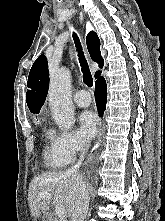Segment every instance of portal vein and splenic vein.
<instances>
[{
    "label": "portal vein and splenic vein",
    "mask_w": 165,
    "mask_h": 221,
    "mask_svg": "<svg viewBox=\"0 0 165 221\" xmlns=\"http://www.w3.org/2000/svg\"><path fill=\"white\" fill-rule=\"evenodd\" d=\"M45 197L49 198V197H51V194H49V193H47V192H42V193H40V194L38 195V199H39V200L42 199V198H45ZM55 213H56V215H57L58 217H60V218H64L65 215H66V211H65V208H64L63 206H58V207H56Z\"/></svg>",
    "instance_id": "obj_1"
}]
</instances>
